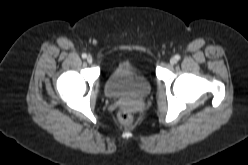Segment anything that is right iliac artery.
<instances>
[{
	"label": "right iliac artery",
	"mask_w": 248,
	"mask_h": 165,
	"mask_svg": "<svg viewBox=\"0 0 248 165\" xmlns=\"http://www.w3.org/2000/svg\"><path fill=\"white\" fill-rule=\"evenodd\" d=\"M87 57V55L85 54V53H83L82 54V58L84 59V58H86Z\"/></svg>",
	"instance_id": "82829eb1"
}]
</instances>
